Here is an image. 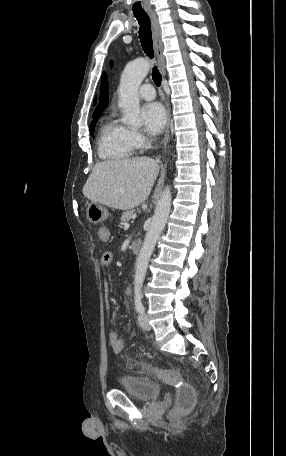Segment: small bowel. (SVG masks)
I'll use <instances>...</instances> for the list:
<instances>
[{
    "mask_svg": "<svg viewBox=\"0 0 286 456\" xmlns=\"http://www.w3.org/2000/svg\"><path fill=\"white\" fill-rule=\"evenodd\" d=\"M98 237L102 241H108L110 238V231L109 228L102 226L98 229L97 231ZM113 261V253L110 251H107L103 253L100 259V263L103 266L109 265ZM104 290H105V296H106V306L107 309H111V302L109 299V283L106 280L104 283ZM109 342L110 345L115 353H121L124 349V341L123 339L119 336V334L116 331H111L109 333Z\"/></svg>",
    "mask_w": 286,
    "mask_h": 456,
    "instance_id": "1",
    "label": "small bowel"
}]
</instances>
